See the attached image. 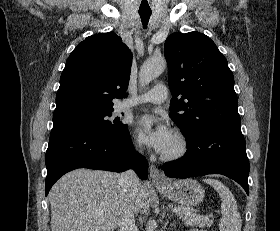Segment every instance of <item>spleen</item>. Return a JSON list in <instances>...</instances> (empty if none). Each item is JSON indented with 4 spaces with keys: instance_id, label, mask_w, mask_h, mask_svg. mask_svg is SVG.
Returning <instances> with one entry per match:
<instances>
[{
    "instance_id": "spleen-1",
    "label": "spleen",
    "mask_w": 280,
    "mask_h": 231,
    "mask_svg": "<svg viewBox=\"0 0 280 231\" xmlns=\"http://www.w3.org/2000/svg\"><path fill=\"white\" fill-rule=\"evenodd\" d=\"M203 181L212 185L222 199V217L219 223L220 231H241L242 219L240 213H238L236 199L232 191L224 183L218 181V179H203Z\"/></svg>"
}]
</instances>
